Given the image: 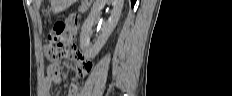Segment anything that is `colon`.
<instances>
[{
    "label": "colon",
    "instance_id": "colon-1",
    "mask_svg": "<svg viewBox=\"0 0 232 96\" xmlns=\"http://www.w3.org/2000/svg\"><path fill=\"white\" fill-rule=\"evenodd\" d=\"M67 21H57L53 27L51 28L48 37H47V44L45 47V55L48 59L51 61L57 62L61 59L63 54V49L66 44V38H65V25H67ZM76 50L73 49H66V51ZM54 71L58 70V67L56 65H53Z\"/></svg>",
    "mask_w": 232,
    "mask_h": 96
}]
</instances>
